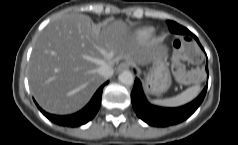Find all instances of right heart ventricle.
Here are the masks:
<instances>
[{"label":"right heart ventricle","instance_id":"right-heart-ventricle-1","mask_svg":"<svg viewBox=\"0 0 238 145\" xmlns=\"http://www.w3.org/2000/svg\"><path fill=\"white\" fill-rule=\"evenodd\" d=\"M152 33H153V30L151 28H144L139 31V36L141 38H147L150 35H152Z\"/></svg>","mask_w":238,"mask_h":145}]
</instances>
